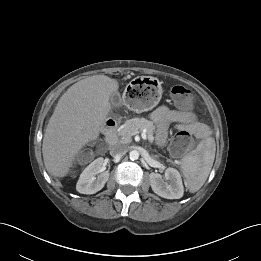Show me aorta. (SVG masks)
<instances>
[{"label":"aorta","mask_w":261,"mask_h":261,"mask_svg":"<svg viewBox=\"0 0 261 261\" xmlns=\"http://www.w3.org/2000/svg\"><path fill=\"white\" fill-rule=\"evenodd\" d=\"M129 158L134 161V160H137L139 158V152L136 151V150H132L130 151L129 153Z\"/></svg>","instance_id":"obj_1"}]
</instances>
